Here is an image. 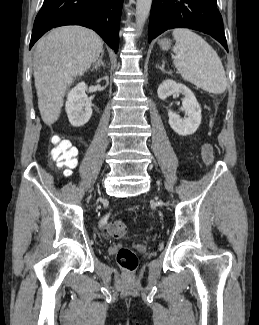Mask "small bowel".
<instances>
[{
	"instance_id": "c3829d8e",
	"label": "small bowel",
	"mask_w": 259,
	"mask_h": 325,
	"mask_svg": "<svg viewBox=\"0 0 259 325\" xmlns=\"http://www.w3.org/2000/svg\"><path fill=\"white\" fill-rule=\"evenodd\" d=\"M69 144H71L69 141H67ZM74 149H75V151L77 152V149L74 147V146H72ZM106 219H107V217H104V218H102V220H101V224L102 225H104V223H105V221H106Z\"/></svg>"
}]
</instances>
